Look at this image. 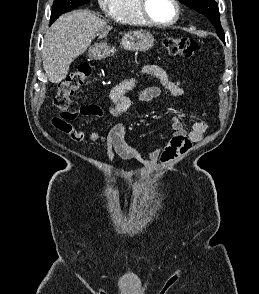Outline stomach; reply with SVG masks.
<instances>
[{
	"label": "stomach",
	"mask_w": 259,
	"mask_h": 294,
	"mask_svg": "<svg viewBox=\"0 0 259 294\" xmlns=\"http://www.w3.org/2000/svg\"><path fill=\"white\" fill-rule=\"evenodd\" d=\"M154 37L147 31H133L125 34L121 44L128 51H147L154 45ZM90 56L100 58L106 55V45H95L89 50Z\"/></svg>",
	"instance_id": "1"
}]
</instances>
